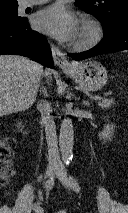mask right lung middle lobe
I'll list each match as a JSON object with an SVG mask.
<instances>
[{"label":"right lung middle lobe","instance_id":"1","mask_svg":"<svg viewBox=\"0 0 128 213\" xmlns=\"http://www.w3.org/2000/svg\"><path fill=\"white\" fill-rule=\"evenodd\" d=\"M23 17H18V5L0 7V20L20 21Z\"/></svg>","mask_w":128,"mask_h":213}]
</instances>
